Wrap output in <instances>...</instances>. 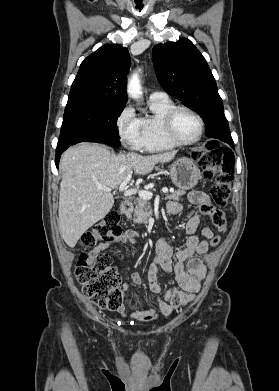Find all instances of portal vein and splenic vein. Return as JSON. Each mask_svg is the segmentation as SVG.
I'll return each instance as SVG.
<instances>
[{"mask_svg":"<svg viewBox=\"0 0 279 391\" xmlns=\"http://www.w3.org/2000/svg\"><path fill=\"white\" fill-rule=\"evenodd\" d=\"M131 177H132V175L128 174L127 177L125 178V180L119 186V191L120 192H124V196H131V195L137 193V189L136 188H131V189H127L126 188L127 184L131 180ZM98 188L103 190V191H107V192H111V190H112L111 188L105 187V186H99ZM162 192L164 194H167L168 193V189L167 188H162ZM138 194H139V197L144 199V200H150L152 198V196H153V193L150 192V191H147V190H139Z\"/></svg>","mask_w":279,"mask_h":391,"instance_id":"portal-vein-and-splenic-vein-1","label":"portal vein and splenic vein"}]
</instances>
